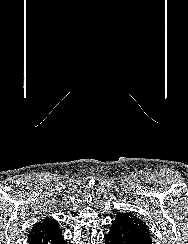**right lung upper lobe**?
I'll return each instance as SVG.
<instances>
[{
	"label": "right lung upper lobe",
	"instance_id": "right-lung-upper-lobe-1",
	"mask_svg": "<svg viewBox=\"0 0 188 244\" xmlns=\"http://www.w3.org/2000/svg\"><path fill=\"white\" fill-rule=\"evenodd\" d=\"M58 222L54 219H49V218H46L38 223H36L33 228L31 229V232L29 234V237H32L38 233H40L41 231L45 230V229H48V228H51V227H54V226H58Z\"/></svg>",
	"mask_w": 188,
	"mask_h": 244
}]
</instances>
